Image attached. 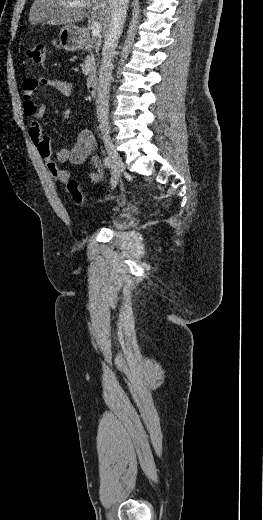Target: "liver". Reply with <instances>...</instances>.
<instances>
[{
    "mask_svg": "<svg viewBox=\"0 0 263 520\" xmlns=\"http://www.w3.org/2000/svg\"><path fill=\"white\" fill-rule=\"evenodd\" d=\"M73 1L83 2L86 7H71L69 3ZM89 8L92 9L91 19L100 23L105 35L114 8L112 0H34L29 21L31 25L44 21L49 25H74L84 20Z\"/></svg>",
    "mask_w": 263,
    "mask_h": 520,
    "instance_id": "liver-1",
    "label": "liver"
}]
</instances>
